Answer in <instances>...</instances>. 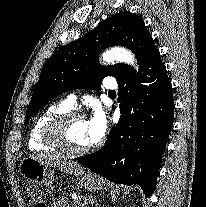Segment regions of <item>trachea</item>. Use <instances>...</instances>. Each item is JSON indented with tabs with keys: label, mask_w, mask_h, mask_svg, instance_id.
<instances>
[{
	"label": "trachea",
	"mask_w": 206,
	"mask_h": 207,
	"mask_svg": "<svg viewBox=\"0 0 206 207\" xmlns=\"http://www.w3.org/2000/svg\"><path fill=\"white\" fill-rule=\"evenodd\" d=\"M109 94H115V91H109Z\"/></svg>",
	"instance_id": "obj_1"
}]
</instances>
